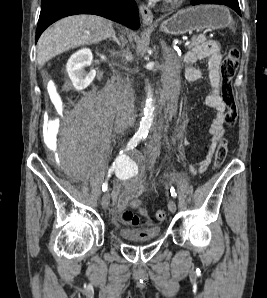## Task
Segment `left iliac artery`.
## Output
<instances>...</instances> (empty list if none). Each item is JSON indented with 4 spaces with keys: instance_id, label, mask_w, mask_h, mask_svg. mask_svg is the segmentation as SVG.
<instances>
[{
    "instance_id": "left-iliac-artery-1",
    "label": "left iliac artery",
    "mask_w": 267,
    "mask_h": 298,
    "mask_svg": "<svg viewBox=\"0 0 267 298\" xmlns=\"http://www.w3.org/2000/svg\"><path fill=\"white\" fill-rule=\"evenodd\" d=\"M145 139H146V136L143 137V140H145ZM170 192H171V196H172L173 198H176L177 193H176L174 187H171Z\"/></svg>"
}]
</instances>
